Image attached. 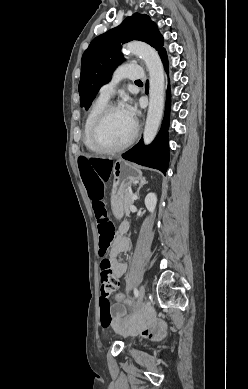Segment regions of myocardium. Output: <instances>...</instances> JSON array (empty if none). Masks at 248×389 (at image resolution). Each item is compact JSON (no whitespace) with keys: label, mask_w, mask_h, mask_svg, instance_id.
<instances>
[{"label":"myocardium","mask_w":248,"mask_h":389,"mask_svg":"<svg viewBox=\"0 0 248 389\" xmlns=\"http://www.w3.org/2000/svg\"><path fill=\"white\" fill-rule=\"evenodd\" d=\"M119 108H122L119 103H115V102L108 103L101 110V112L98 114L97 118L95 119V121L93 123L92 129H91V141H92L93 145L95 146V148L99 152L116 153V152L122 151V150L126 149L127 147H129L135 141V139L138 135V126H137V123L134 122L133 132H132L131 136L125 142H123L119 145L109 146V145L104 144L100 140L99 133H100V130H101L103 124L105 123L107 117L109 116V114L113 110L119 109Z\"/></svg>","instance_id":"obj_1"}]
</instances>
